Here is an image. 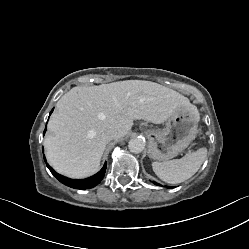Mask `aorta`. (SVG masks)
<instances>
[{
  "label": "aorta",
  "instance_id": "762f6f07",
  "mask_svg": "<svg viewBox=\"0 0 249 249\" xmlns=\"http://www.w3.org/2000/svg\"><path fill=\"white\" fill-rule=\"evenodd\" d=\"M128 148L132 153H141L145 148V140L142 138L131 139Z\"/></svg>",
  "mask_w": 249,
  "mask_h": 249
}]
</instances>
